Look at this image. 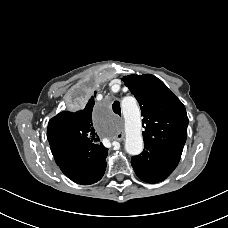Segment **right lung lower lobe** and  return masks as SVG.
Returning a JSON list of instances; mask_svg holds the SVG:
<instances>
[{
	"mask_svg": "<svg viewBox=\"0 0 228 228\" xmlns=\"http://www.w3.org/2000/svg\"><path fill=\"white\" fill-rule=\"evenodd\" d=\"M57 165L75 183L89 185L100 180L106 169L107 149L97 145L76 144L51 149Z\"/></svg>",
	"mask_w": 228,
	"mask_h": 228,
	"instance_id": "1",
	"label": "right lung lower lobe"
}]
</instances>
